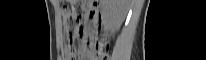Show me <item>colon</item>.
Returning a JSON list of instances; mask_svg holds the SVG:
<instances>
[{"label": "colon", "instance_id": "5ec220e1", "mask_svg": "<svg viewBox=\"0 0 206 60\" xmlns=\"http://www.w3.org/2000/svg\"><path fill=\"white\" fill-rule=\"evenodd\" d=\"M63 19L66 26L69 42L72 43L79 35L80 21L78 13L72 5H65L62 9ZM89 47L94 48L96 60H108V51L106 45L103 42L95 41L88 43Z\"/></svg>", "mask_w": 206, "mask_h": 60}]
</instances>
